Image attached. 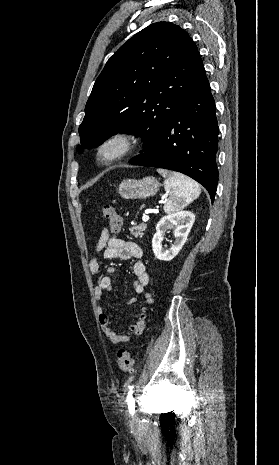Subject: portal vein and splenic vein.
Listing matches in <instances>:
<instances>
[{"label": "portal vein and splenic vein", "instance_id": "1", "mask_svg": "<svg viewBox=\"0 0 279 465\" xmlns=\"http://www.w3.org/2000/svg\"><path fill=\"white\" fill-rule=\"evenodd\" d=\"M142 220L143 222H147L149 220V216L147 214H144Z\"/></svg>", "mask_w": 279, "mask_h": 465}]
</instances>
